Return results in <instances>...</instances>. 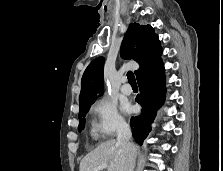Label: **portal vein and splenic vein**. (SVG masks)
Listing matches in <instances>:
<instances>
[{"label":"portal vein and splenic vein","instance_id":"18ae733b","mask_svg":"<svg viewBox=\"0 0 223 171\" xmlns=\"http://www.w3.org/2000/svg\"><path fill=\"white\" fill-rule=\"evenodd\" d=\"M108 167V164L104 163V164H100L99 166H97L94 171H100L102 169H105Z\"/></svg>","mask_w":223,"mask_h":171}]
</instances>
